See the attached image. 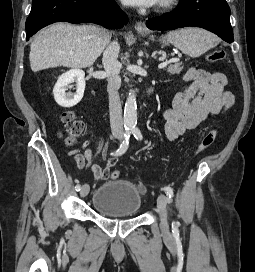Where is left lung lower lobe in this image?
I'll return each instance as SVG.
<instances>
[{
	"instance_id": "obj_1",
	"label": "left lung lower lobe",
	"mask_w": 255,
	"mask_h": 272,
	"mask_svg": "<svg viewBox=\"0 0 255 272\" xmlns=\"http://www.w3.org/2000/svg\"><path fill=\"white\" fill-rule=\"evenodd\" d=\"M146 26L161 31L196 26L217 34L228 43L234 41L226 0H180L176 10L148 19Z\"/></svg>"
}]
</instances>
